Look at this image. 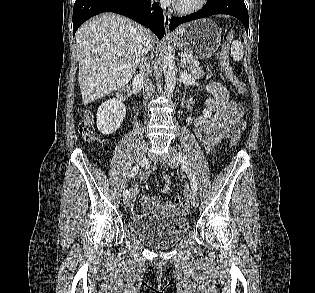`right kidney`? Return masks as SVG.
Returning <instances> with one entry per match:
<instances>
[{
  "mask_svg": "<svg viewBox=\"0 0 315 293\" xmlns=\"http://www.w3.org/2000/svg\"><path fill=\"white\" fill-rule=\"evenodd\" d=\"M125 115L126 108L120 100L113 98L105 101L97 111L98 130L104 135L116 132Z\"/></svg>",
  "mask_w": 315,
  "mask_h": 293,
  "instance_id": "ca27d5eb",
  "label": "right kidney"
}]
</instances>
